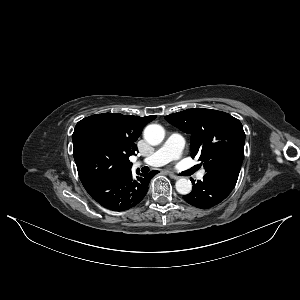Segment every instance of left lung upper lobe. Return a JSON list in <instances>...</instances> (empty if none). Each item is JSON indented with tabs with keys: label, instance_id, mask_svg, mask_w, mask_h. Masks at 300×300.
<instances>
[{
	"label": "left lung upper lobe",
	"instance_id": "obj_1",
	"mask_svg": "<svg viewBox=\"0 0 300 300\" xmlns=\"http://www.w3.org/2000/svg\"><path fill=\"white\" fill-rule=\"evenodd\" d=\"M191 134V156L199 157L204 177L235 187L244 157L245 133L241 122L230 114L212 109H188L165 116Z\"/></svg>",
	"mask_w": 300,
	"mask_h": 300
}]
</instances>
